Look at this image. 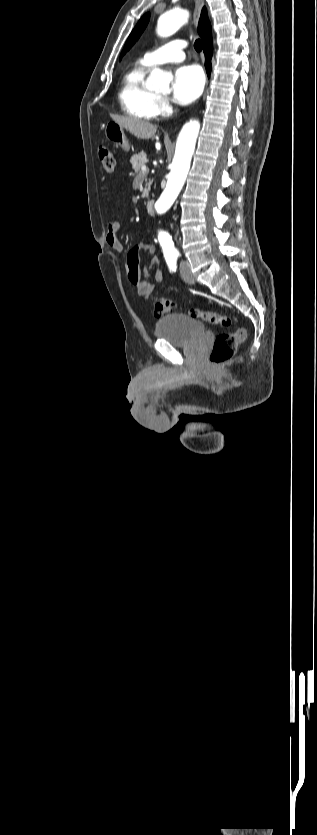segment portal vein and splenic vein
<instances>
[{
	"label": "portal vein and splenic vein",
	"instance_id": "18ae733b",
	"mask_svg": "<svg viewBox=\"0 0 317 835\" xmlns=\"http://www.w3.org/2000/svg\"><path fill=\"white\" fill-rule=\"evenodd\" d=\"M141 170L145 172V171H148V168H147L145 165H143V166L141 167Z\"/></svg>",
	"mask_w": 317,
	"mask_h": 835
}]
</instances>
